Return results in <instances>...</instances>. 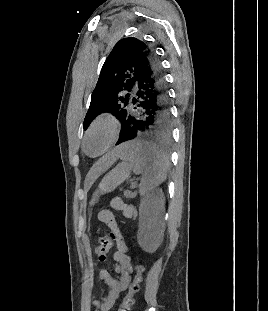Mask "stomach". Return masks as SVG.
I'll return each instance as SVG.
<instances>
[{
	"instance_id": "1",
	"label": "stomach",
	"mask_w": 268,
	"mask_h": 311,
	"mask_svg": "<svg viewBox=\"0 0 268 311\" xmlns=\"http://www.w3.org/2000/svg\"><path fill=\"white\" fill-rule=\"evenodd\" d=\"M131 166L128 162L119 163L114 169L107 173L99 184V189L93 194V203L100 194H106L115 190L120 184L129 178Z\"/></svg>"
}]
</instances>
